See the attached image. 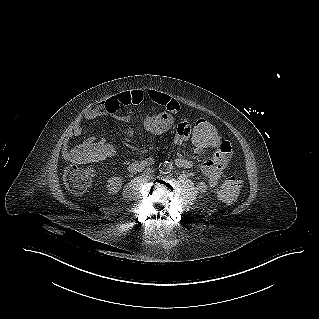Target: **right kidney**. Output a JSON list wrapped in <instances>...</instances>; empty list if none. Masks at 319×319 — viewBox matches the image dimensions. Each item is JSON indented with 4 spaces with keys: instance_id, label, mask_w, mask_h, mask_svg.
Masks as SVG:
<instances>
[{
    "instance_id": "obj_1",
    "label": "right kidney",
    "mask_w": 319,
    "mask_h": 319,
    "mask_svg": "<svg viewBox=\"0 0 319 319\" xmlns=\"http://www.w3.org/2000/svg\"><path fill=\"white\" fill-rule=\"evenodd\" d=\"M121 177H111L107 180L106 188L109 194H115L122 188V181Z\"/></svg>"
}]
</instances>
